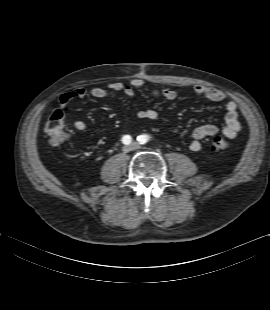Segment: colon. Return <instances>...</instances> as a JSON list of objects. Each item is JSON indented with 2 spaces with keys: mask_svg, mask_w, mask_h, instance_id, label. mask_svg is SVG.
Returning a JSON list of instances; mask_svg holds the SVG:
<instances>
[{
  "mask_svg": "<svg viewBox=\"0 0 270 310\" xmlns=\"http://www.w3.org/2000/svg\"><path fill=\"white\" fill-rule=\"evenodd\" d=\"M46 133L52 144L61 143L65 137V115L62 109H56L46 123ZM211 147L216 151H224L229 147L227 139L216 136L211 140Z\"/></svg>",
  "mask_w": 270,
  "mask_h": 310,
  "instance_id": "obj_1",
  "label": "colon"
}]
</instances>
